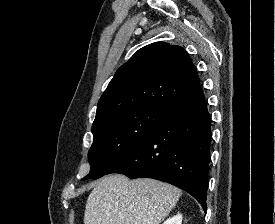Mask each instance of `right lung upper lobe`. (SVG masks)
<instances>
[{
  "mask_svg": "<svg viewBox=\"0 0 275 224\" xmlns=\"http://www.w3.org/2000/svg\"><path fill=\"white\" fill-rule=\"evenodd\" d=\"M199 83L197 70L183 48L165 42L147 45L115 73L98 102L93 127L142 107L167 110Z\"/></svg>",
  "mask_w": 275,
  "mask_h": 224,
  "instance_id": "right-lung-upper-lobe-1",
  "label": "right lung upper lobe"
}]
</instances>
